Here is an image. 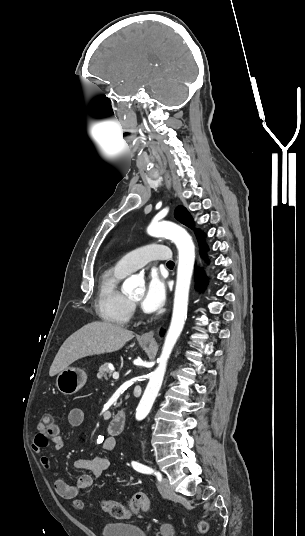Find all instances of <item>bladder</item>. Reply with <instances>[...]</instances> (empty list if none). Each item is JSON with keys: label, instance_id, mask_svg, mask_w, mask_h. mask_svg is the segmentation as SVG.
<instances>
[{"label": "bladder", "instance_id": "obj_1", "mask_svg": "<svg viewBox=\"0 0 305 536\" xmlns=\"http://www.w3.org/2000/svg\"><path fill=\"white\" fill-rule=\"evenodd\" d=\"M101 536H149L146 529L133 521L104 522L100 526Z\"/></svg>", "mask_w": 305, "mask_h": 536}]
</instances>
